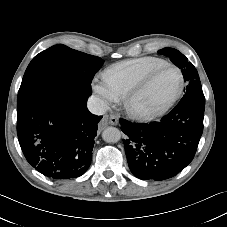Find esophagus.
Returning <instances> with one entry per match:
<instances>
[{"label": "esophagus", "instance_id": "34e87169", "mask_svg": "<svg viewBox=\"0 0 227 227\" xmlns=\"http://www.w3.org/2000/svg\"><path fill=\"white\" fill-rule=\"evenodd\" d=\"M108 121L111 125H116L118 123V117L115 115H110Z\"/></svg>", "mask_w": 227, "mask_h": 227}]
</instances>
